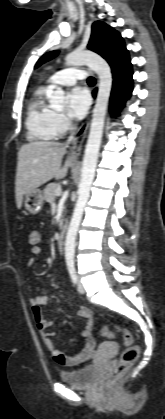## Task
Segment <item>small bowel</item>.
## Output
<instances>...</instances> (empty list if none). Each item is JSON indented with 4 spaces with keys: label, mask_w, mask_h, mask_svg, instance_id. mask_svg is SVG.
I'll use <instances>...</instances> for the list:
<instances>
[{
    "label": "small bowel",
    "mask_w": 165,
    "mask_h": 419,
    "mask_svg": "<svg viewBox=\"0 0 165 419\" xmlns=\"http://www.w3.org/2000/svg\"><path fill=\"white\" fill-rule=\"evenodd\" d=\"M36 234L38 241L36 243L31 242L30 236ZM29 241L31 242V257L27 261V265L32 267L36 263V256L42 254V248L39 245L40 237L37 231L29 232ZM48 301L47 296L39 295L30 299L29 303L32 308L33 317L36 323L37 328L41 332L43 342L46 348L51 352L54 361L60 365L74 367L86 363L92 356L93 352L96 349V342L92 337L93 329V319L91 311L87 307H80L77 310V315L85 319L86 323L84 329L81 333V336L84 340L83 346L74 354H65L59 349L56 348L52 335L46 330L53 325V322L46 320L41 307L45 305Z\"/></svg>",
    "instance_id": "obj_1"
}]
</instances>
